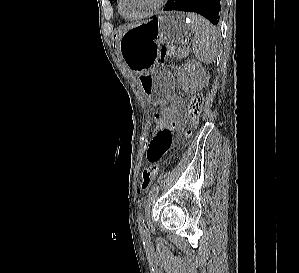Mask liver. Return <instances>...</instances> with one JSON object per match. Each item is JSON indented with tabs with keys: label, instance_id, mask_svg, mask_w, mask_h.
<instances>
[{
	"label": "liver",
	"instance_id": "obj_1",
	"mask_svg": "<svg viewBox=\"0 0 299 273\" xmlns=\"http://www.w3.org/2000/svg\"><path fill=\"white\" fill-rule=\"evenodd\" d=\"M143 23H145V22H135V23H130V24L123 25V26L120 27L117 38H116V45H117L118 52H119V46L118 45H119V41H120V38L122 37V35L126 31H128L130 29H133V28H136V27L142 25Z\"/></svg>",
	"mask_w": 299,
	"mask_h": 273
}]
</instances>
